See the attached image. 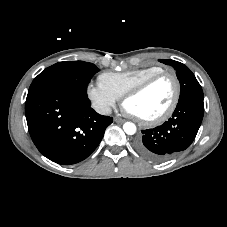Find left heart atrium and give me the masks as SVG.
<instances>
[{
	"label": "left heart atrium",
	"mask_w": 227,
	"mask_h": 227,
	"mask_svg": "<svg viewBox=\"0 0 227 227\" xmlns=\"http://www.w3.org/2000/svg\"><path fill=\"white\" fill-rule=\"evenodd\" d=\"M124 110L126 113L130 114V115H135V113L126 105H124Z\"/></svg>",
	"instance_id": "left-heart-atrium-1"
}]
</instances>
